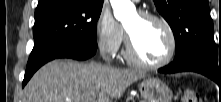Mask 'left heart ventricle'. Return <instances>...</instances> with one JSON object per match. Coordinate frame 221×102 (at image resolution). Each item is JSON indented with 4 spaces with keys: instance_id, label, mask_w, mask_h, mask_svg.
<instances>
[{
    "instance_id": "left-heart-ventricle-1",
    "label": "left heart ventricle",
    "mask_w": 221,
    "mask_h": 102,
    "mask_svg": "<svg viewBox=\"0 0 221 102\" xmlns=\"http://www.w3.org/2000/svg\"><path fill=\"white\" fill-rule=\"evenodd\" d=\"M138 55L146 62L161 61L168 53L170 42L165 29L156 21L144 20L136 14L127 24Z\"/></svg>"
}]
</instances>
